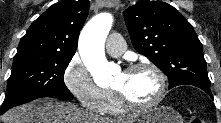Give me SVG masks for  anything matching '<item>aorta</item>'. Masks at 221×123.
<instances>
[{"instance_id":"obj_1","label":"aorta","mask_w":221,"mask_h":123,"mask_svg":"<svg viewBox=\"0 0 221 123\" xmlns=\"http://www.w3.org/2000/svg\"><path fill=\"white\" fill-rule=\"evenodd\" d=\"M112 23L111 14L100 13L84 26L79 37L81 59L92 74L94 82L100 87L109 86L113 80L114 66L107 61L104 53L105 41Z\"/></svg>"}]
</instances>
